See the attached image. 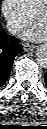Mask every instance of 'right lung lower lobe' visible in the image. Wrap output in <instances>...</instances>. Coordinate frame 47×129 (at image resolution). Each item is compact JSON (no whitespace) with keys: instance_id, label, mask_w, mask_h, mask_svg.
Wrapping results in <instances>:
<instances>
[{"instance_id":"98d812e1","label":"right lung lower lobe","mask_w":47,"mask_h":129,"mask_svg":"<svg viewBox=\"0 0 47 129\" xmlns=\"http://www.w3.org/2000/svg\"><path fill=\"white\" fill-rule=\"evenodd\" d=\"M21 52L19 40L6 34L0 26V87L9 77L15 56Z\"/></svg>"}]
</instances>
